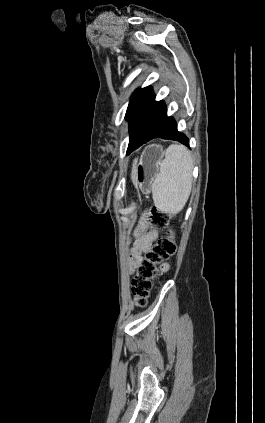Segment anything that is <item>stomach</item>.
I'll list each match as a JSON object with an SVG mask.
<instances>
[{
	"label": "stomach",
	"mask_w": 265,
	"mask_h": 423,
	"mask_svg": "<svg viewBox=\"0 0 265 423\" xmlns=\"http://www.w3.org/2000/svg\"><path fill=\"white\" fill-rule=\"evenodd\" d=\"M164 151L161 145L153 144L144 149L137 164V178L142 182V189L147 191L149 184L158 172V166L163 158Z\"/></svg>",
	"instance_id": "0dacf381"
}]
</instances>
